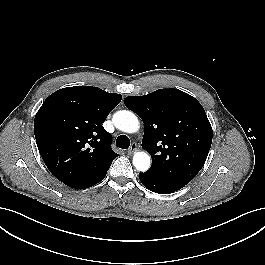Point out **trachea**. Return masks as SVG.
<instances>
[{
	"label": "trachea",
	"mask_w": 265,
	"mask_h": 265,
	"mask_svg": "<svg viewBox=\"0 0 265 265\" xmlns=\"http://www.w3.org/2000/svg\"><path fill=\"white\" fill-rule=\"evenodd\" d=\"M116 145L119 148L127 149L130 146V140L126 135H120L116 140Z\"/></svg>",
	"instance_id": "trachea-1"
}]
</instances>
